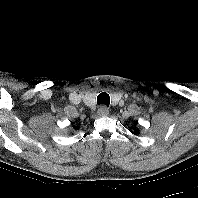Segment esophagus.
I'll list each match as a JSON object with an SVG mask.
<instances>
[{
  "instance_id": "esophagus-1",
  "label": "esophagus",
  "mask_w": 198,
  "mask_h": 198,
  "mask_svg": "<svg viewBox=\"0 0 198 198\" xmlns=\"http://www.w3.org/2000/svg\"><path fill=\"white\" fill-rule=\"evenodd\" d=\"M97 113H98V116L105 117V116H107L109 114V110H108V108L106 106L102 105L98 109Z\"/></svg>"
}]
</instances>
